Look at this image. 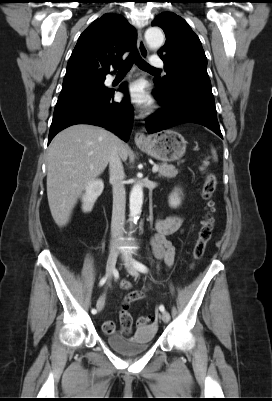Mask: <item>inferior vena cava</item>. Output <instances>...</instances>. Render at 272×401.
<instances>
[{"mask_svg":"<svg viewBox=\"0 0 272 401\" xmlns=\"http://www.w3.org/2000/svg\"><path fill=\"white\" fill-rule=\"evenodd\" d=\"M110 182L113 188V210L111 220V243L119 242L125 221L126 192L124 187V169L121 156L114 149L109 159Z\"/></svg>","mask_w":272,"mask_h":401,"instance_id":"inferior-vena-cava-1","label":"inferior vena cava"}]
</instances>
